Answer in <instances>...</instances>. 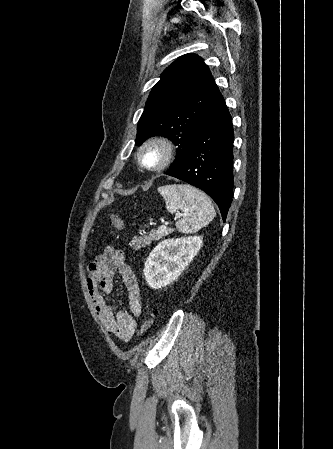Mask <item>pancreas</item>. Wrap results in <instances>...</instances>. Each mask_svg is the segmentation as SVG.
Returning <instances> with one entry per match:
<instances>
[{
    "label": "pancreas",
    "instance_id": "pancreas-1",
    "mask_svg": "<svg viewBox=\"0 0 333 449\" xmlns=\"http://www.w3.org/2000/svg\"><path fill=\"white\" fill-rule=\"evenodd\" d=\"M172 231V228L162 226L157 230H151L148 234H145L142 237H134L130 245L134 248V250H139L141 248H145L146 246H150L152 241L160 240L161 238L172 233Z\"/></svg>",
    "mask_w": 333,
    "mask_h": 449
}]
</instances>
